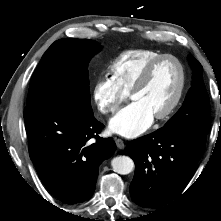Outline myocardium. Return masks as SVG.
I'll return each mask as SVG.
<instances>
[{
	"instance_id": "obj_1",
	"label": "myocardium",
	"mask_w": 221,
	"mask_h": 221,
	"mask_svg": "<svg viewBox=\"0 0 221 221\" xmlns=\"http://www.w3.org/2000/svg\"><path fill=\"white\" fill-rule=\"evenodd\" d=\"M168 59L173 60L178 65L179 71H180V80H179V85H178V88H177V91L173 100L163 112L154 116V119L156 120H165L169 118L176 111L177 107L179 106L182 100V97L185 91V86H186V70L182 61L178 57L171 55V54H163L153 59L143 69V71L141 72V74L139 75L138 79L136 80V82L134 83L133 87L131 88L129 92V95L131 98L136 92L140 91L148 83L154 69L160 63Z\"/></svg>"
}]
</instances>
